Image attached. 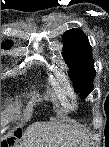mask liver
<instances>
[{
	"mask_svg": "<svg viewBox=\"0 0 109 147\" xmlns=\"http://www.w3.org/2000/svg\"><path fill=\"white\" fill-rule=\"evenodd\" d=\"M87 134L58 121L36 122L24 132L20 147H87Z\"/></svg>",
	"mask_w": 109,
	"mask_h": 147,
	"instance_id": "obj_1",
	"label": "liver"
}]
</instances>
